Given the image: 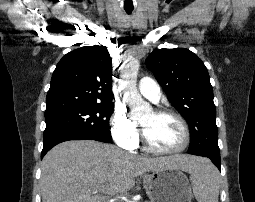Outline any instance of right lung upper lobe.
I'll return each instance as SVG.
<instances>
[{"label":"right lung upper lobe","mask_w":255,"mask_h":202,"mask_svg":"<svg viewBox=\"0 0 255 202\" xmlns=\"http://www.w3.org/2000/svg\"><path fill=\"white\" fill-rule=\"evenodd\" d=\"M111 82L112 61L106 47L73 50L53 72L45 114L86 104L113 103Z\"/></svg>","instance_id":"right-lung-upper-lobe-1"}]
</instances>
